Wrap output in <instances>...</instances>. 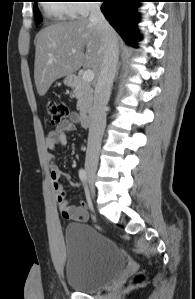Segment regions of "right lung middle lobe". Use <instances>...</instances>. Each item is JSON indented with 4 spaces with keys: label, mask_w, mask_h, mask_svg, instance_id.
<instances>
[{
    "label": "right lung middle lobe",
    "mask_w": 195,
    "mask_h": 299,
    "mask_svg": "<svg viewBox=\"0 0 195 299\" xmlns=\"http://www.w3.org/2000/svg\"><path fill=\"white\" fill-rule=\"evenodd\" d=\"M35 4H34V17H35V22H36V24H39L40 22H41V17H40V15H39V11H38V9H37V2H34Z\"/></svg>",
    "instance_id": "1"
}]
</instances>
